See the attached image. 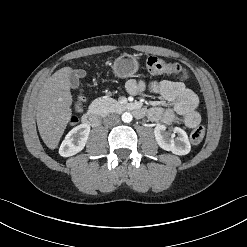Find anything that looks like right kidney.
<instances>
[{
  "label": "right kidney",
  "instance_id": "obj_1",
  "mask_svg": "<svg viewBox=\"0 0 247 247\" xmlns=\"http://www.w3.org/2000/svg\"><path fill=\"white\" fill-rule=\"evenodd\" d=\"M90 133V125L80 124L73 128L63 140L59 154L63 157H69L77 154L86 145Z\"/></svg>",
  "mask_w": 247,
  "mask_h": 247
}]
</instances>
